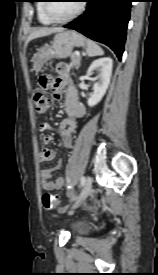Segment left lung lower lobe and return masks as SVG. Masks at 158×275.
Listing matches in <instances>:
<instances>
[{
  "instance_id": "left-lung-lower-lobe-1",
  "label": "left lung lower lobe",
  "mask_w": 158,
  "mask_h": 275,
  "mask_svg": "<svg viewBox=\"0 0 158 275\" xmlns=\"http://www.w3.org/2000/svg\"><path fill=\"white\" fill-rule=\"evenodd\" d=\"M83 15L65 25L109 46L121 60L132 0H88Z\"/></svg>"
}]
</instances>
